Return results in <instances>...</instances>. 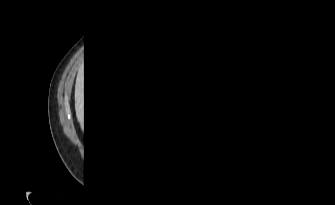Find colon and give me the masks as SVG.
Segmentation results:
<instances>
[{
	"mask_svg": "<svg viewBox=\"0 0 335 205\" xmlns=\"http://www.w3.org/2000/svg\"><path fill=\"white\" fill-rule=\"evenodd\" d=\"M183 47L187 53L195 57H204L215 48V42L209 39L190 38L184 41ZM125 69L122 75V85L128 92H140L147 86L154 67V57L151 47L140 44L131 48L124 56ZM256 101L266 104L269 94L260 92Z\"/></svg>",
	"mask_w": 335,
	"mask_h": 205,
	"instance_id": "obj_1",
	"label": "colon"
}]
</instances>
